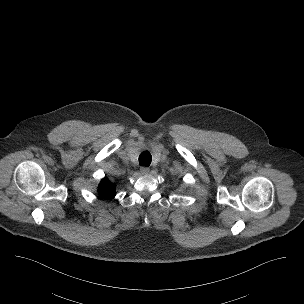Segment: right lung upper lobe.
I'll list each match as a JSON object with an SVG mask.
<instances>
[{
	"instance_id": "right-lung-upper-lobe-1",
	"label": "right lung upper lobe",
	"mask_w": 304,
	"mask_h": 304,
	"mask_svg": "<svg viewBox=\"0 0 304 304\" xmlns=\"http://www.w3.org/2000/svg\"><path fill=\"white\" fill-rule=\"evenodd\" d=\"M116 185L111 183L107 178L102 179L98 187V192L103 198L111 199L116 195Z\"/></svg>"
}]
</instances>
